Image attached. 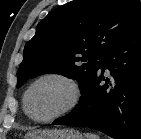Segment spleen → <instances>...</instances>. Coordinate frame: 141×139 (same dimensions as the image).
Listing matches in <instances>:
<instances>
[{
  "instance_id": "1",
  "label": "spleen",
  "mask_w": 141,
  "mask_h": 139,
  "mask_svg": "<svg viewBox=\"0 0 141 139\" xmlns=\"http://www.w3.org/2000/svg\"><path fill=\"white\" fill-rule=\"evenodd\" d=\"M85 136H86V139H99V137L95 134L87 133L85 134Z\"/></svg>"
}]
</instances>
